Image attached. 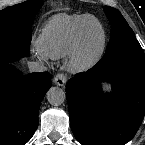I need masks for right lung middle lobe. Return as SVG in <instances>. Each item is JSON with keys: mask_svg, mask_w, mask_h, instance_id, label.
I'll use <instances>...</instances> for the list:
<instances>
[{"mask_svg": "<svg viewBox=\"0 0 145 145\" xmlns=\"http://www.w3.org/2000/svg\"><path fill=\"white\" fill-rule=\"evenodd\" d=\"M42 4L29 0L0 11V63L29 55L32 23Z\"/></svg>", "mask_w": 145, "mask_h": 145, "instance_id": "dd1d6c3e", "label": "right lung middle lobe"}]
</instances>
